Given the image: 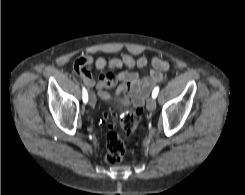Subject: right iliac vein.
<instances>
[{"label": "right iliac vein", "mask_w": 245, "mask_h": 195, "mask_svg": "<svg viewBox=\"0 0 245 195\" xmlns=\"http://www.w3.org/2000/svg\"><path fill=\"white\" fill-rule=\"evenodd\" d=\"M89 104L91 106H95V104H96V97H95L94 93H92V92L89 95Z\"/></svg>", "instance_id": "1"}]
</instances>
